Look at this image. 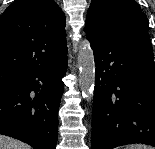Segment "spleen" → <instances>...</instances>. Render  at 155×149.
Instances as JSON below:
<instances>
[{
	"label": "spleen",
	"instance_id": "spleen-1",
	"mask_svg": "<svg viewBox=\"0 0 155 149\" xmlns=\"http://www.w3.org/2000/svg\"><path fill=\"white\" fill-rule=\"evenodd\" d=\"M125 149H154L151 146L142 145V144H135V145H128Z\"/></svg>",
	"mask_w": 155,
	"mask_h": 149
}]
</instances>
